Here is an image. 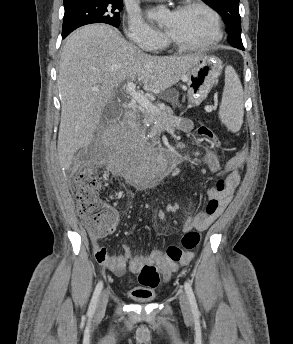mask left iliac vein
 I'll list each match as a JSON object with an SVG mask.
<instances>
[{"mask_svg": "<svg viewBox=\"0 0 293 344\" xmlns=\"http://www.w3.org/2000/svg\"><path fill=\"white\" fill-rule=\"evenodd\" d=\"M179 302H180V306H181V310L183 314L186 317H191V310H190L188 296L186 295L184 291H181L179 294Z\"/></svg>", "mask_w": 293, "mask_h": 344, "instance_id": "left-iliac-vein-1", "label": "left iliac vein"}]
</instances>
